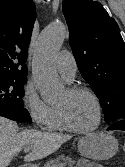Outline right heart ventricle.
Listing matches in <instances>:
<instances>
[{
  "label": "right heart ventricle",
  "mask_w": 125,
  "mask_h": 167,
  "mask_svg": "<svg viewBox=\"0 0 125 167\" xmlns=\"http://www.w3.org/2000/svg\"><path fill=\"white\" fill-rule=\"evenodd\" d=\"M47 129L52 130V131H63L65 130V127L63 126L59 113L56 109V107H54V111H53V116L52 119L49 123V125L47 126Z\"/></svg>",
  "instance_id": "1"
}]
</instances>
